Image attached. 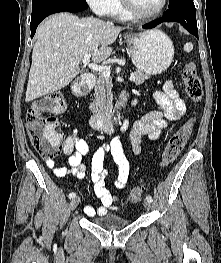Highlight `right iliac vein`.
Returning a JSON list of instances; mask_svg holds the SVG:
<instances>
[{"instance_id": "1", "label": "right iliac vein", "mask_w": 221, "mask_h": 263, "mask_svg": "<svg viewBox=\"0 0 221 263\" xmlns=\"http://www.w3.org/2000/svg\"><path fill=\"white\" fill-rule=\"evenodd\" d=\"M79 202H80L79 197L73 198L72 201L70 202V209L75 210L77 208V206L79 205Z\"/></svg>"}]
</instances>
